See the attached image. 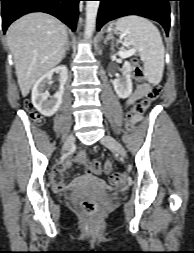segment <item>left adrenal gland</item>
Returning a JSON list of instances; mask_svg holds the SVG:
<instances>
[{"instance_id":"obj_1","label":"left adrenal gland","mask_w":194,"mask_h":253,"mask_svg":"<svg viewBox=\"0 0 194 253\" xmlns=\"http://www.w3.org/2000/svg\"><path fill=\"white\" fill-rule=\"evenodd\" d=\"M111 39H113V35H112L111 32H109V33L107 34L106 38L104 39V44H107V42H108L109 40H111ZM112 48H113V43L111 44V49H112Z\"/></svg>"}]
</instances>
